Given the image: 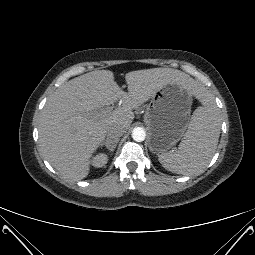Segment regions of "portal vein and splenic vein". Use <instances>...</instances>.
I'll use <instances>...</instances> for the list:
<instances>
[{
  "label": "portal vein and splenic vein",
  "instance_id": "portal-vein-and-splenic-vein-1",
  "mask_svg": "<svg viewBox=\"0 0 255 255\" xmlns=\"http://www.w3.org/2000/svg\"><path fill=\"white\" fill-rule=\"evenodd\" d=\"M104 114H110L111 113V110L109 109V110H106V111H104L103 112Z\"/></svg>",
  "mask_w": 255,
  "mask_h": 255
}]
</instances>
